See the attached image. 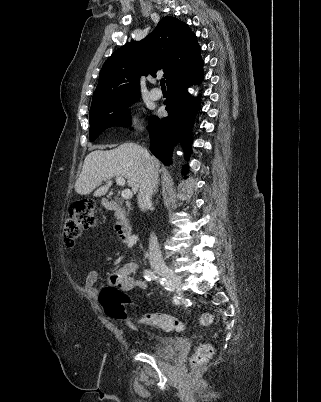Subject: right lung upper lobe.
<instances>
[{"label": "right lung upper lobe", "instance_id": "1", "mask_svg": "<svg viewBox=\"0 0 321 402\" xmlns=\"http://www.w3.org/2000/svg\"><path fill=\"white\" fill-rule=\"evenodd\" d=\"M203 64L195 34L184 22L166 16L139 42L116 50L103 65L91 107L140 94L141 76L164 70L166 84Z\"/></svg>", "mask_w": 321, "mask_h": 402}]
</instances>
